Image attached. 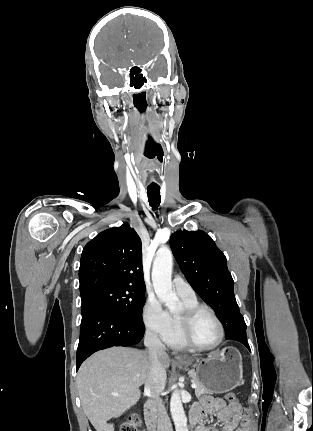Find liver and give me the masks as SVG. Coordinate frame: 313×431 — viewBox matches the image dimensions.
Here are the masks:
<instances>
[{
    "mask_svg": "<svg viewBox=\"0 0 313 431\" xmlns=\"http://www.w3.org/2000/svg\"><path fill=\"white\" fill-rule=\"evenodd\" d=\"M170 362L167 354L161 358L165 369ZM149 367L147 351L124 347L99 351L81 365L77 375L79 397L96 431H114L107 421L138 402Z\"/></svg>",
    "mask_w": 313,
    "mask_h": 431,
    "instance_id": "6515ba94",
    "label": "liver"
}]
</instances>
